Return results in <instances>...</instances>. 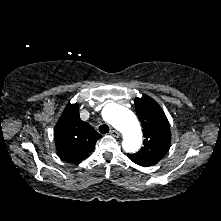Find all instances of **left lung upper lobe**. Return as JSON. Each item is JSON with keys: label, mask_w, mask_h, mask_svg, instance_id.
I'll return each mask as SVG.
<instances>
[{"label": "left lung upper lobe", "mask_w": 221, "mask_h": 221, "mask_svg": "<svg viewBox=\"0 0 221 221\" xmlns=\"http://www.w3.org/2000/svg\"><path fill=\"white\" fill-rule=\"evenodd\" d=\"M135 109L143 127L144 146L130 160L140 166H152L160 161L170 148L171 134L168 120L151 97L143 95L135 99Z\"/></svg>", "instance_id": "1"}]
</instances>
